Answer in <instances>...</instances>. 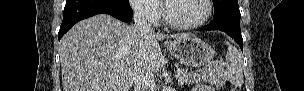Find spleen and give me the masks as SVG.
<instances>
[{
  "instance_id": "obj_1",
  "label": "spleen",
  "mask_w": 304,
  "mask_h": 91,
  "mask_svg": "<svg viewBox=\"0 0 304 91\" xmlns=\"http://www.w3.org/2000/svg\"><path fill=\"white\" fill-rule=\"evenodd\" d=\"M226 54V78L236 87L243 85V59L237 48L227 42Z\"/></svg>"
}]
</instances>
